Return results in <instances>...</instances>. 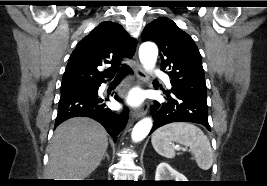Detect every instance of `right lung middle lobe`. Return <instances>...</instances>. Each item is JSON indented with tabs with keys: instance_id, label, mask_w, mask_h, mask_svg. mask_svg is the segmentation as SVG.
Listing matches in <instances>:
<instances>
[{
	"instance_id": "obj_1",
	"label": "right lung middle lobe",
	"mask_w": 267,
	"mask_h": 186,
	"mask_svg": "<svg viewBox=\"0 0 267 186\" xmlns=\"http://www.w3.org/2000/svg\"><path fill=\"white\" fill-rule=\"evenodd\" d=\"M75 86H87V87H93L95 86L94 84H78V85H61V91L70 88V87H75Z\"/></svg>"
}]
</instances>
